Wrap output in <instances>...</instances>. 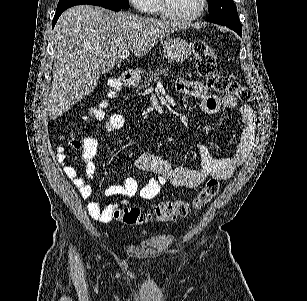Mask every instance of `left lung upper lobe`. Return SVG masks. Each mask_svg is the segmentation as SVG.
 Returning <instances> with one entry per match:
<instances>
[{
	"instance_id": "1",
	"label": "left lung upper lobe",
	"mask_w": 307,
	"mask_h": 301,
	"mask_svg": "<svg viewBox=\"0 0 307 301\" xmlns=\"http://www.w3.org/2000/svg\"><path fill=\"white\" fill-rule=\"evenodd\" d=\"M208 21L227 26L242 36V26L233 0H208Z\"/></svg>"
}]
</instances>
